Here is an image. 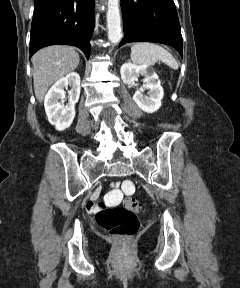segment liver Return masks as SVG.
I'll return each instance as SVG.
<instances>
[{
	"instance_id": "6515ba94",
	"label": "liver",
	"mask_w": 240,
	"mask_h": 288,
	"mask_svg": "<svg viewBox=\"0 0 240 288\" xmlns=\"http://www.w3.org/2000/svg\"><path fill=\"white\" fill-rule=\"evenodd\" d=\"M31 61L34 67V93L41 103L49 87L76 69L80 58L74 48L56 45L39 50Z\"/></svg>"
}]
</instances>
